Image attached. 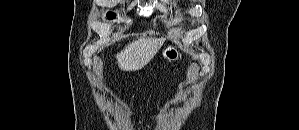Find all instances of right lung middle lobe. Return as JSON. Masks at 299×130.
<instances>
[{"instance_id": "obj_1", "label": "right lung middle lobe", "mask_w": 299, "mask_h": 130, "mask_svg": "<svg viewBox=\"0 0 299 130\" xmlns=\"http://www.w3.org/2000/svg\"><path fill=\"white\" fill-rule=\"evenodd\" d=\"M107 17L109 19H113L115 17V15L113 13L109 12L108 15H107Z\"/></svg>"}]
</instances>
